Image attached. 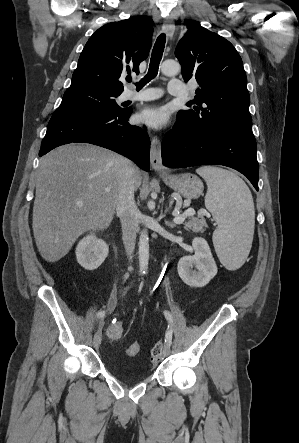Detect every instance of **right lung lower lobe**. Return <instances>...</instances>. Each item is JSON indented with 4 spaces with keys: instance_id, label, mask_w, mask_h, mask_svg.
Here are the masks:
<instances>
[{
    "instance_id": "obj_1",
    "label": "right lung lower lobe",
    "mask_w": 299,
    "mask_h": 443,
    "mask_svg": "<svg viewBox=\"0 0 299 443\" xmlns=\"http://www.w3.org/2000/svg\"><path fill=\"white\" fill-rule=\"evenodd\" d=\"M131 113L132 109L100 112L59 106L49 121L39 156L60 145L91 143L122 154L149 171L150 140L144 129L128 123Z\"/></svg>"
}]
</instances>
